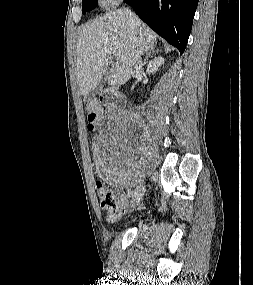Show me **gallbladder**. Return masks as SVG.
I'll return each instance as SVG.
<instances>
[{
	"label": "gallbladder",
	"instance_id": "bac80fb5",
	"mask_svg": "<svg viewBox=\"0 0 253 285\" xmlns=\"http://www.w3.org/2000/svg\"><path fill=\"white\" fill-rule=\"evenodd\" d=\"M109 71L106 69L102 75V78L98 82V84L92 89V91L88 94V97H94L96 94H98L103 86L104 80L108 77Z\"/></svg>",
	"mask_w": 253,
	"mask_h": 285
}]
</instances>
